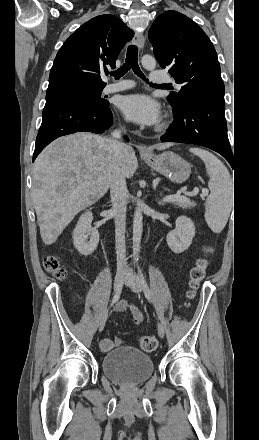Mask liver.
<instances>
[{
  "instance_id": "liver-1",
  "label": "liver",
  "mask_w": 259,
  "mask_h": 440,
  "mask_svg": "<svg viewBox=\"0 0 259 440\" xmlns=\"http://www.w3.org/2000/svg\"><path fill=\"white\" fill-rule=\"evenodd\" d=\"M171 145L155 147L164 150ZM113 158L109 139L87 132L60 137L39 154L33 166L32 199L44 244L55 243L80 211L105 195ZM137 168L135 152L126 145L125 178H131Z\"/></svg>"
}]
</instances>
